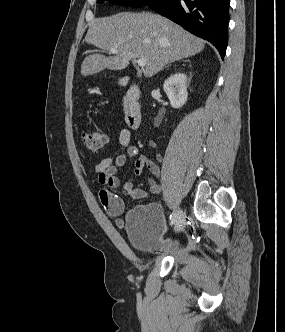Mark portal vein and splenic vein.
<instances>
[{
  "instance_id": "1",
  "label": "portal vein and splenic vein",
  "mask_w": 285,
  "mask_h": 332,
  "mask_svg": "<svg viewBox=\"0 0 285 332\" xmlns=\"http://www.w3.org/2000/svg\"><path fill=\"white\" fill-rule=\"evenodd\" d=\"M109 53L111 54H116L117 50L115 48H110L109 49ZM137 63L140 67H145L147 65V60L144 58H138L137 59Z\"/></svg>"
}]
</instances>
